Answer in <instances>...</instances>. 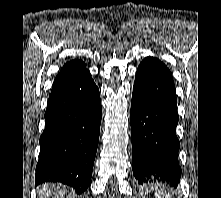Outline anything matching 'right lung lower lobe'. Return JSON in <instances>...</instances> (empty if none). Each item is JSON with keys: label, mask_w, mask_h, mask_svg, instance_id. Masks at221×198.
I'll return each instance as SVG.
<instances>
[{"label": "right lung lower lobe", "mask_w": 221, "mask_h": 198, "mask_svg": "<svg viewBox=\"0 0 221 198\" xmlns=\"http://www.w3.org/2000/svg\"><path fill=\"white\" fill-rule=\"evenodd\" d=\"M99 89L87 70L71 82L53 89L40 137V158L35 181L70 185L76 193L91 182L100 124Z\"/></svg>", "instance_id": "1"}]
</instances>
